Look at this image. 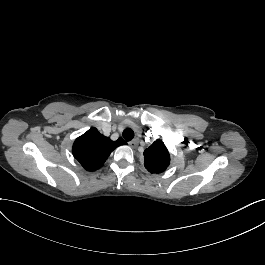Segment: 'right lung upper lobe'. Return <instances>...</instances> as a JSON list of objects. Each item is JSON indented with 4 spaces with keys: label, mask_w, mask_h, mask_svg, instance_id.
<instances>
[{
    "label": "right lung upper lobe",
    "mask_w": 265,
    "mask_h": 265,
    "mask_svg": "<svg viewBox=\"0 0 265 265\" xmlns=\"http://www.w3.org/2000/svg\"><path fill=\"white\" fill-rule=\"evenodd\" d=\"M125 143L122 138L112 141L92 127L75 140L72 152L83 168L94 171L104 164L116 147Z\"/></svg>",
    "instance_id": "obj_1"
}]
</instances>
